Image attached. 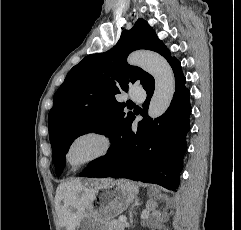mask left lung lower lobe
<instances>
[{
    "instance_id": "1",
    "label": "left lung lower lobe",
    "mask_w": 241,
    "mask_h": 230,
    "mask_svg": "<svg viewBox=\"0 0 241 230\" xmlns=\"http://www.w3.org/2000/svg\"><path fill=\"white\" fill-rule=\"evenodd\" d=\"M175 75V93L168 110L155 120L148 117L147 110L154 92V80L144 89L147 99L143 104V119L133 132L134 117L122 126L111 141L108 153L80 173L81 177L127 178L145 183H155L175 190L179 184V172L186 151V134L190 130V91L180 62L169 60Z\"/></svg>"
}]
</instances>
